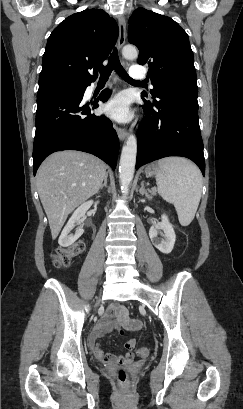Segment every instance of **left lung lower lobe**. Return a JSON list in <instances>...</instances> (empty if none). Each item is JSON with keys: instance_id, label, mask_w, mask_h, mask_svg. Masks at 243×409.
<instances>
[{"instance_id": "0a47b994", "label": "left lung lower lobe", "mask_w": 243, "mask_h": 409, "mask_svg": "<svg viewBox=\"0 0 243 409\" xmlns=\"http://www.w3.org/2000/svg\"><path fill=\"white\" fill-rule=\"evenodd\" d=\"M142 99L144 118L137 133L136 169L163 157L183 156L195 162L204 176L196 81L172 82L155 99Z\"/></svg>"}]
</instances>
